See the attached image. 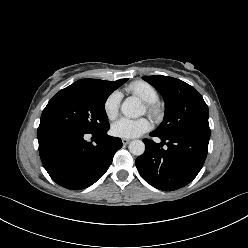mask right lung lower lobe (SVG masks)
Returning a JSON list of instances; mask_svg holds the SVG:
<instances>
[{
    "label": "right lung lower lobe",
    "instance_id": "right-lung-lower-lobe-1",
    "mask_svg": "<svg viewBox=\"0 0 248 248\" xmlns=\"http://www.w3.org/2000/svg\"><path fill=\"white\" fill-rule=\"evenodd\" d=\"M109 128L86 133L69 126L39 125V154L50 177L71 190L94 184L105 174L114 154L122 147L120 138L107 135ZM87 134L92 135L95 144L84 139Z\"/></svg>",
    "mask_w": 248,
    "mask_h": 248
}]
</instances>
